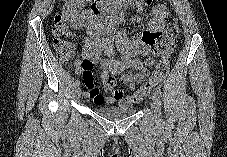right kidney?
<instances>
[{
    "label": "right kidney",
    "instance_id": "obj_1",
    "mask_svg": "<svg viewBox=\"0 0 227 157\" xmlns=\"http://www.w3.org/2000/svg\"><path fill=\"white\" fill-rule=\"evenodd\" d=\"M62 14L70 25L77 26L78 23H80L79 22L80 17L78 18L75 4H72L70 2L66 3L65 6L63 7Z\"/></svg>",
    "mask_w": 227,
    "mask_h": 157
}]
</instances>
